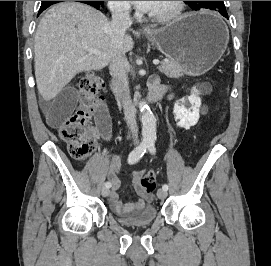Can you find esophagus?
Listing matches in <instances>:
<instances>
[{
	"mask_svg": "<svg viewBox=\"0 0 271 266\" xmlns=\"http://www.w3.org/2000/svg\"><path fill=\"white\" fill-rule=\"evenodd\" d=\"M140 31L143 32V33H148V32L151 31V29H150L149 27H142V28L140 29Z\"/></svg>",
	"mask_w": 271,
	"mask_h": 266,
	"instance_id": "34e87169",
	"label": "esophagus"
}]
</instances>
